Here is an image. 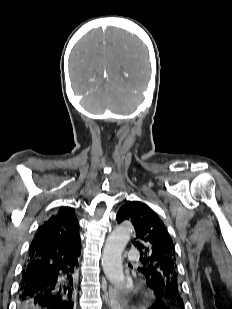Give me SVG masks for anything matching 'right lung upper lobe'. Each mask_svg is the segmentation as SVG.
I'll return each mask as SVG.
<instances>
[{
	"label": "right lung upper lobe",
	"mask_w": 232,
	"mask_h": 309,
	"mask_svg": "<svg viewBox=\"0 0 232 309\" xmlns=\"http://www.w3.org/2000/svg\"><path fill=\"white\" fill-rule=\"evenodd\" d=\"M79 223L71 207L60 208L56 215L38 228L28 251L27 262L38 269L55 260L74 259L80 255Z\"/></svg>",
	"instance_id": "right-lung-upper-lobe-1"
}]
</instances>
